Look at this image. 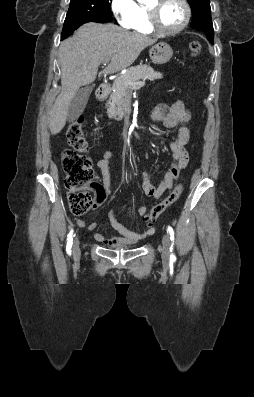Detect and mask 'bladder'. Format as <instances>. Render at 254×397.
Wrapping results in <instances>:
<instances>
[{"label": "bladder", "mask_w": 254, "mask_h": 397, "mask_svg": "<svg viewBox=\"0 0 254 397\" xmlns=\"http://www.w3.org/2000/svg\"><path fill=\"white\" fill-rule=\"evenodd\" d=\"M115 248L116 249H125V250L131 249V247H129V246H116Z\"/></svg>", "instance_id": "1"}]
</instances>
